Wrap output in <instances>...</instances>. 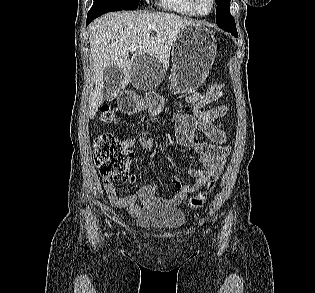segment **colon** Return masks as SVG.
I'll return each mask as SVG.
<instances>
[{"mask_svg": "<svg viewBox=\"0 0 315 293\" xmlns=\"http://www.w3.org/2000/svg\"><path fill=\"white\" fill-rule=\"evenodd\" d=\"M216 85L209 87L204 95L221 94L223 86L221 80H214ZM223 85V84H222ZM100 119L105 123H115L117 118L112 107L104 105L100 109ZM134 154L129 149L127 141L111 134H101L94 141V159L105 183L121 185L130 177V164ZM218 177L214 176L202 187V189L188 199V204L194 209L201 208L208 196L215 189Z\"/></svg>", "mask_w": 315, "mask_h": 293, "instance_id": "1", "label": "colon"}]
</instances>
